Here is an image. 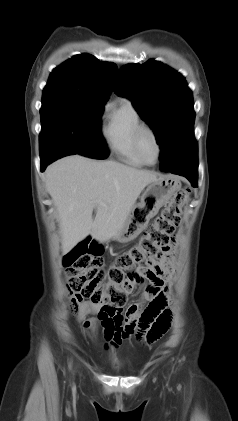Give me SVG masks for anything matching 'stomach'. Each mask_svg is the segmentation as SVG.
<instances>
[{
  "label": "stomach",
  "mask_w": 238,
  "mask_h": 421,
  "mask_svg": "<svg viewBox=\"0 0 238 421\" xmlns=\"http://www.w3.org/2000/svg\"><path fill=\"white\" fill-rule=\"evenodd\" d=\"M179 188V180L171 176H164L150 183L142 194L140 202L131 208L114 238L120 242H129L135 239Z\"/></svg>",
  "instance_id": "stomach-1"
}]
</instances>
